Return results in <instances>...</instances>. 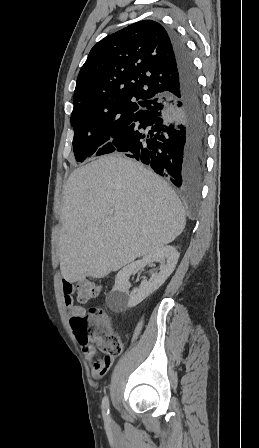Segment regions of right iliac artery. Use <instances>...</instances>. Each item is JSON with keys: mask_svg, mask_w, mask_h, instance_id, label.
<instances>
[{"mask_svg": "<svg viewBox=\"0 0 259 448\" xmlns=\"http://www.w3.org/2000/svg\"><path fill=\"white\" fill-rule=\"evenodd\" d=\"M102 414L105 423L109 424L111 422V418L109 413V399L107 396H105L102 400Z\"/></svg>", "mask_w": 259, "mask_h": 448, "instance_id": "82829eb1", "label": "right iliac artery"}]
</instances>
